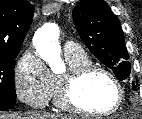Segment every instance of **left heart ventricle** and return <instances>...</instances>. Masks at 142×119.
<instances>
[{"label":"left heart ventricle","instance_id":"obj_1","mask_svg":"<svg viewBox=\"0 0 142 119\" xmlns=\"http://www.w3.org/2000/svg\"><path fill=\"white\" fill-rule=\"evenodd\" d=\"M115 86L105 75H91L76 92V100L86 109L102 112L110 109L116 101Z\"/></svg>","mask_w":142,"mask_h":119}]
</instances>
